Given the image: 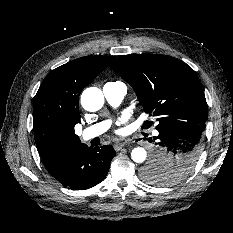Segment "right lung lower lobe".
<instances>
[{"instance_id":"obj_1","label":"right lung lower lobe","mask_w":233,"mask_h":233,"mask_svg":"<svg viewBox=\"0 0 233 233\" xmlns=\"http://www.w3.org/2000/svg\"><path fill=\"white\" fill-rule=\"evenodd\" d=\"M115 154L111 145L91 148L80 144L61 150L43 162L48 172L64 187L84 190L105 178Z\"/></svg>"}]
</instances>
